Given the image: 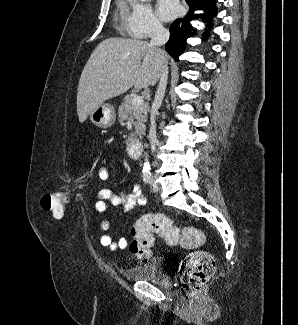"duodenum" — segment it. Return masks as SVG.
I'll use <instances>...</instances> for the list:
<instances>
[{
  "instance_id": "1",
  "label": "duodenum",
  "mask_w": 298,
  "mask_h": 325,
  "mask_svg": "<svg viewBox=\"0 0 298 325\" xmlns=\"http://www.w3.org/2000/svg\"><path fill=\"white\" fill-rule=\"evenodd\" d=\"M128 152L131 157L139 158L143 152V144L140 141H131L128 145Z\"/></svg>"
}]
</instances>
